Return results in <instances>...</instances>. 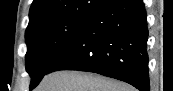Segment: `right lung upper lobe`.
Returning a JSON list of instances; mask_svg holds the SVG:
<instances>
[{"label": "right lung upper lobe", "instance_id": "obj_1", "mask_svg": "<svg viewBox=\"0 0 173 91\" xmlns=\"http://www.w3.org/2000/svg\"><path fill=\"white\" fill-rule=\"evenodd\" d=\"M112 0H34L29 12V26L63 17L94 14Z\"/></svg>", "mask_w": 173, "mask_h": 91}]
</instances>
